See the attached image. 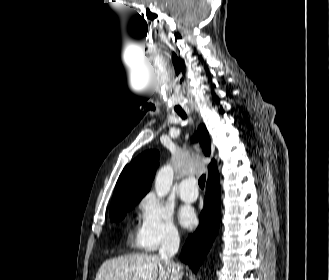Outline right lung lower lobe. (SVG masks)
<instances>
[{
  "mask_svg": "<svg viewBox=\"0 0 329 280\" xmlns=\"http://www.w3.org/2000/svg\"><path fill=\"white\" fill-rule=\"evenodd\" d=\"M221 188L218 171L208 178L204 209L199 227L185 242L181 260L196 273L217 235L220 218Z\"/></svg>",
  "mask_w": 329,
  "mask_h": 280,
  "instance_id": "98d812e1",
  "label": "right lung lower lobe"
}]
</instances>
